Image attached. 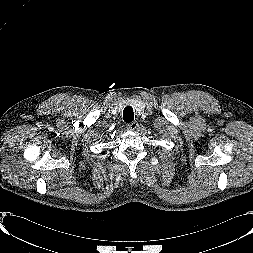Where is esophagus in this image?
<instances>
[{
	"label": "esophagus",
	"mask_w": 253,
	"mask_h": 253,
	"mask_svg": "<svg viewBox=\"0 0 253 253\" xmlns=\"http://www.w3.org/2000/svg\"><path fill=\"white\" fill-rule=\"evenodd\" d=\"M138 127H139V124H138L137 121H133V122L127 124V129L128 130L134 131V130L138 129Z\"/></svg>",
	"instance_id": "1"
}]
</instances>
